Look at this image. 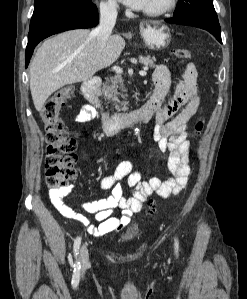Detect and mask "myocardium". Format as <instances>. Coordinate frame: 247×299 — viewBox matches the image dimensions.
<instances>
[{
	"instance_id": "obj_1",
	"label": "myocardium",
	"mask_w": 247,
	"mask_h": 299,
	"mask_svg": "<svg viewBox=\"0 0 247 299\" xmlns=\"http://www.w3.org/2000/svg\"><path fill=\"white\" fill-rule=\"evenodd\" d=\"M176 0H164L157 6L145 8L143 10L144 14L151 17L161 16L169 12L175 5Z\"/></svg>"
}]
</instances>
